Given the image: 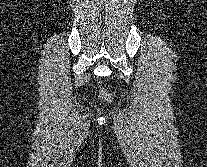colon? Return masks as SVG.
<instances>
[{"instance_id":"obj_1","label":"colon","mask_w":207,"mask_h":167,"mask_svg":"<svg viewBox=\"0 0 207 167\" xmlns=\"http://www.w3.org/2000/svg\"><path fill=\"white\" fill-rule=\"evenodd\" d=\"M98 95H99L100 99L105 102H110L112 100V94L109 91H107L106 89H103V88L99 89Z\"/></svg>"}]
</instances>
